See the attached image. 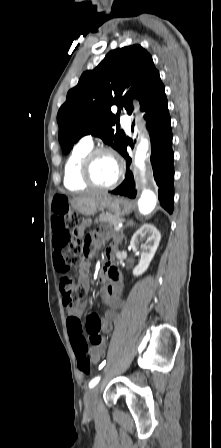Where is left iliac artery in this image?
Listing matches in <instances>:
<instances>
[{
	"label": "left iliac artery",
	"mask_w": 221,
	"mask_h": 448,
	"mask_svg": "<svg viewBox=\"0 0 221 448\" xmlns=\"http://www.w3.org/2000/svg\"><path fill=\"white\" fill-rule=\"evenodd\" d=\"M105 366V363L103 362L101 365H100V368H103ZM99 380H100V377L98 376V377H95L94 379H92L91 381H90V383H89V387L90 388H92V387H94L95 385H97V383L99 382Z\"/></svg>",
	"instance_id": "obj_1"
}]
</instances>
